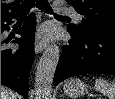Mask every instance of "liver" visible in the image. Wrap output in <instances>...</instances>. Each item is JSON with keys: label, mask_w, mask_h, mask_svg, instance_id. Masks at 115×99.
<instances>
[{"label": "liver", "mask_w": 115, "mask_h": 99, "mask_svg": "<svg viewBox=\"0 0 115 99\" xmlns=\"http://www.w3.org/2000/svg\"><path fill=\"white\" fill-rule=\"evenodd\" d=\"M1 99H16V94L12 90L1 86Z\"/></svg>", "instance_id": "1"}]
</instances>
